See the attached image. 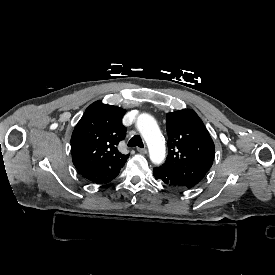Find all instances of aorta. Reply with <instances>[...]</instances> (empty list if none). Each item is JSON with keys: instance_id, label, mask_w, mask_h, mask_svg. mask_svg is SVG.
Wrapping results in <instances>:
<instances>
[{"instance_id": "aorta-1", "label": "aorta", "mask_w": 275, "mask_h": 275, "mask_svg": "<svg viewBox=\"0 0 275 275\" xmlns=\"http://www.w3.org/2000/svg\"><path fill=\"white\" fill-rule=\"evenodd\" d=\"M136 127L149 146L150 159L154 164H160L165 158V149L161 143V132L153 116L142 113L138 116Z\"/></svg>"}]
</instances>
